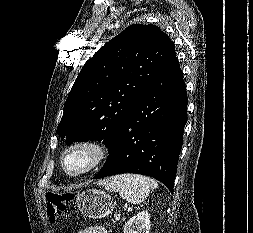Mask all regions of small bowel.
<instances>
[{
    "mask_svg": "<svg viewBox=\"0 0 253 233\" xmlns=\"http://www.w3.org/2000/svg\"><path fill=\"white\" fill-rule=\"evenodd\" d=\"M78 233H107L106 229L101 226H93L79 231Z\"/></svg>",
    "mask_w": 253,
    "mask_h": 233,
    "instance_id": "1",
    "label": "small bowel"
}]
</instances>
